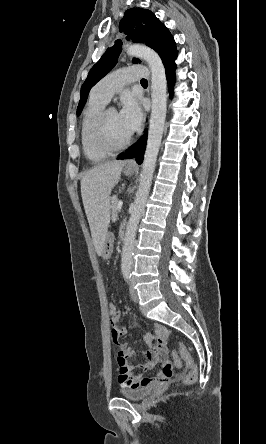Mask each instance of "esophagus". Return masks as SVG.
<instances>
[{
    "mask_svg": "<svg viewBox=\"0 0 266 444\" xmlns=\"http://www.w3.org/2000/svg\"><path fill=\"white\" fill-rule=\"evenodd\" d=\"M127 166H129V167H136L137 165H136L135 161H130V162L127 163Z\"/></svg>",
    "mask_w": 266,
    "mask_h": 444,
    "instance_id": "esophagus-1",
    "label": "esophagus"
}]
</instances>
